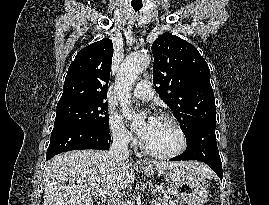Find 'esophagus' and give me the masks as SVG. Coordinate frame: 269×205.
I'll use <instances>...</instances> for the list:
<instances>
[{"label":"esophagus","mask_w":269,"mask_h":205,"mask_svg":"<svg viewBox=\"0 0 269 205\" xmlns=\"http://www.w3.org/2000/svg\"><path fill=\"white\" fill-rule=\"evenodd\" d=\"M137 164H138V165H142V162H141V161H138Z\"/></svg>","instance_id":"1"}]
</instances>
